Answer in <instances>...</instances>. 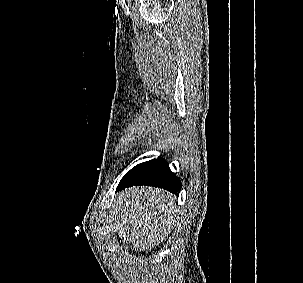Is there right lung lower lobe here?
<instances>
[{"label":"right lung lower lobe","mask_w":303,"mask_h":283,"mask_svg":"<svg viewBox=\"0 0 303 283\" xmlns=\"http://www.w3.org/2000/svg\"><path fill=\"white\" fill-rule=\"evenodd\" d=\"M133 185H147L166 189L177 194L181 181L168 167L164 159H155L136 165L121 179L117 191Z\"/></svg>","instance_id":"1"}]
</instances>
